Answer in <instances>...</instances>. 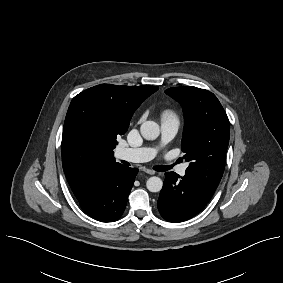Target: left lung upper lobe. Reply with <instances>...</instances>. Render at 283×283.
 Wrapping results in <instances>:
<instances>
[{
	"instance_id": "obj_1",
	"label": "left lung upper lobe",
	"mask_w": 283,
	"mask_h": 283,
	"mask_svg": "<svg viewBox=\"0 0 283 283\" xmlns=\"http://www.w3.org/2000/svg\"><path fill=\"white\" fill-rule=\"evenodd\" d=\"M165 93L183 107L182 151L190 162L186 175L213 194L225 168L230 131L227 114L216 96L205 89L185 86Z\"/></svg>"
}]
</instances>
